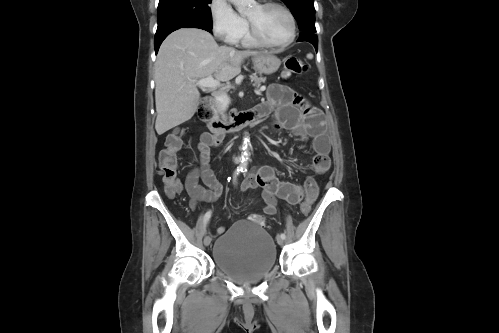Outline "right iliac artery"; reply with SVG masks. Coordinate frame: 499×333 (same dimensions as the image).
Returning a JSON list of instances; mask_svg holds the SVG:
<instances>
[{
    "label": "right iliac artery",
    "mask_w": 499,
    "mask_h": 333,
    "mask_svg": "<svg viewBox=\"0 0 499 333\" xmlns=\"http://www.w3.org/2000/svg\"><path fill=\"white\" fill-rule=\"evenodd\" d=\"M241 172H243V169H242V168H237V170L234 172V175H233V180H234V182L236 181L237 176H238ZM211 213H212L211 211H208V212H206V214H205V216H204V227H205V229H206V225H207V223H208V221H209V219H210V217H211Z\"/></svg>",
    "instance_id": "82829eb1"
}]
</instances>
